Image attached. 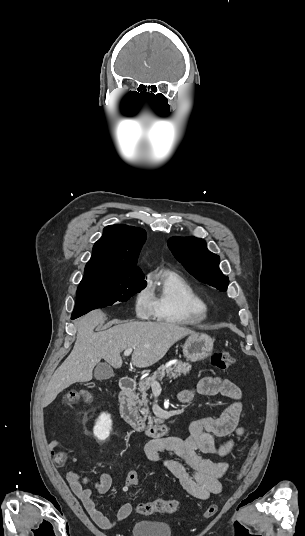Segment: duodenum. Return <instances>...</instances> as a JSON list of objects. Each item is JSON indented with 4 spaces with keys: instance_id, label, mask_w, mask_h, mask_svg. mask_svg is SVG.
<instances>
[{
    "instance_id": "obj_1",
    "label": "duodenum",
    "mask_w": 305,
    "mask_h": 536,
    "mask_svg": "<svg viewBox=\"0 0 305 536\" xmlns=\"http://www.w3.org/2000/svg\"><path fill=\"white\" fill-rule=\"evenodd\" d=\"M136 382L130 377H123L120 381V415L125 423L134 430L159 438L169 429L168 424H148L141 417L135 400Z\"/></svg>"
}]
</instances>
